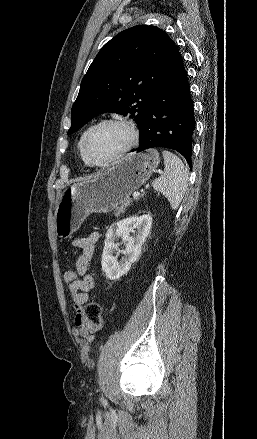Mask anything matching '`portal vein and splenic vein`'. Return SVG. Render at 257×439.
I'll list each match as a JSON object with an SVG mask.
<instances>
[{"instance_id": "obj_1", "label": "portal vein and splenic vein", "mask_w": 257, "mask_h": 439, "mask_svg": "<svg viewBox=\"0 0 257 439\" xmlns=\"http://www.w3.org/2000/svg\"><path fill=\"white\" fill-rule=\"evenodd\" d=\"M139 195H140V192L136 191L133 193L132 196H133V198H137Z\"/></svg>"}]
</instances>
